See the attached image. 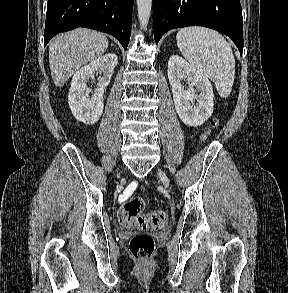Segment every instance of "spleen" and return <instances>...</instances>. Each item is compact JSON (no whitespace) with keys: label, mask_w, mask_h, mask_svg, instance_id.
I'll use <instances>...</instances> for the list:
<instances>
[{"label":"spleen","mask_w":288,"mask_h":293,"mask_svg":"<svg viewBox=\"0 0 288 293\" xmlns=\"http://www.w3.org/2000/svg\"><path fill=\"white\" fill-rule=\"evenodd\" d=\"M176 40L190 65L215 83L221 97H228L235 78V59L226 39L208 28L186 27L178 31Z\"/></svg>","instance_id":"obj_1"}]
</instances>
